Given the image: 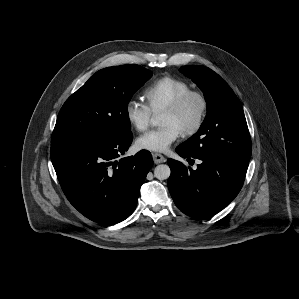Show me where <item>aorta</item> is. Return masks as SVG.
I'll return each instance as SVG.
<instances>
[{"instance_id":"aorta-1","label":"aorta","mask_w":299,"mask_h":299,"mask_svg":"<svg viewBox=\"0 0 299 299\" xmlns=\"http://www.w3.org/2000/svg\"><path fill=\"white\" fill-rule=\"evenodd\" d=\"M151 123L154 126H161L162 125V118L160 116H155L151 118ZM171 174L170 167L166 164H160L155 167L154 175L159 180H166L169 178Z\"/></svg>"}]
</instances>
